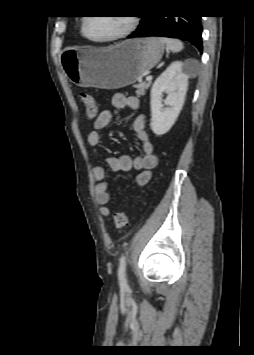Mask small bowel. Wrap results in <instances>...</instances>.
<instances>
[{
	"mask_svg": "<svg viewBox=\"0 0 254 355\" xmlns=\"http://www.w3.org/2000/svg\"><path fill=\"white\" fill-rule=\"evenodd\" d=\"M112 105L115 108L137 110L140 104L138 98L135 96H126L122 93H116L112 97ZM111 120V111L103 110L100 112L87 135V141L90 146L98 147L100 145L101 131L110 124ZM132 129L141 142L142 154L137 157H131L130 155L106 156L103 157V159L113 171L128 172L133 169L138 170L139 173L135 178V184L137 186H145L151 180L152 171L157 166L158 158L148 132L146 131V117L144 115H138L134 119ZM93 176L96 180L95 195L100 205V214L102 216H108L111 210L108 205L110 202V194L108 191V183L105 180V168L103 166H95L93 168Z\"/></svg>",
	"mask_w": 254,
	"mask_h": 355,
	"instance_id": "obj_1",
	"label": "small bowel"
}]
</instances>
